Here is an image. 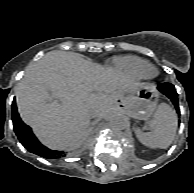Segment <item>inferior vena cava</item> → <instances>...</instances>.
Returning <instances> with one entry per match:
<instances>
[{
  "instance_id": "602c4592",
  "label": "inferior vena cava",
  "mask_w": 194,
  "mask_h": 193,
  "mask_svg": "<svg viewBox=\"0 0 194 193\" xmlns=\"http://www.w3.org/2000/svg\"><path fill=\"white\" fill-rule=\"evenodd\" d=\"M88 113L89 119L94 120L97 118L99 110L98 108H89Z\"/></svg>"
}]
</instances>
